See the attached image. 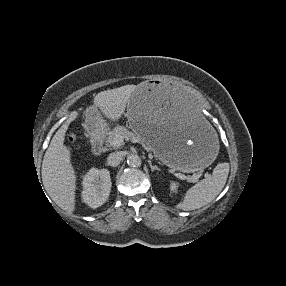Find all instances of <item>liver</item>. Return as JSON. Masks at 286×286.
Listing matches in <instances>:
<instances>
[{
	"label": "liver",
	"mask_w": 286,
	"mask_h": 286,
	"mask_svg": "<svg viewBox=\"0 0 286 286\" xmlns=\"http://www.w3.org/2000/svg\"><path fill=\"white\" fill-rule=\"evenodd\" d=\"M136 88V85H125L100 92L94 98L95 107L99 108L107 119L117 121L124 113ZM77 115L73 113L55 133L44 155L41 169L42 182L47 194L67 212L75 210L76 173L71 163L70 149L64 141L69 124ZM104 125L106 123H101L100 128Z\"/></svg>",
	"instance_id": "1"
}]
</instances>
